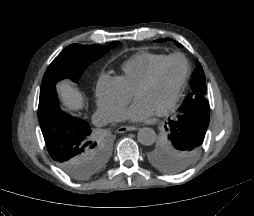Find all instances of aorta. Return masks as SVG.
<instances>
[{
  "label": "aorta",
  "instance_id": "762f6f07",
  "mask_svg": "<svg viewBox=\"0 0 254 216\" xmlns=\"http://www.w3.org/2000/svg\"><path fill=\"white\" fill-rule=\"evenodd\" d=\"M138 141L145 146L152 145L156 140V133L152 128L144 127L138 131Z\"/></svg>",
  "mask_w": 254,
  "mask_h": 216
}]
</instances>
